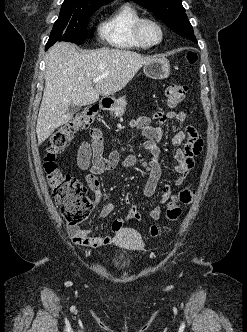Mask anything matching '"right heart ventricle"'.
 Returning a JSON list of instances; mask_svg holds the SVG:
<instances>
[{
	"label": "right heart ventricle",
	"instance_id": "obj_1",
	"mask_svg": "<svg viewBox=\"0 0 247 332\" xmlns=\"http://www.w3.org/2000/svg\"><path fill=\"white\" fill-rule=\"evenodd\" d=\"M140 18H142L141 12L132 4L120 5L102 24L101 38L108 45L122 50L146 48L136 39L134 34V26Z\"/></svg>",
	"mask_w": 247,
	"mask_h": 332
}]
</instances>
